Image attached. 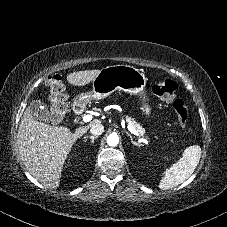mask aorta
I'll list each match as a JSON object with an SVG mask.
<instances>
[{
    "label": "aorta",
    "instance_id": "obj_1",
    "mask_svg": "<svg viewBox=\"0 0 227 227\" xmlns=\"http://www.w3.org/2000/svg\"><path fill=\"white\" fill-rule=\"evenodd\" d=\"M119 137L116 133H112L107 137V144L111 147L118 145Z\"/></svg>",
    "mask_w": 227,
    "mask_h": 227
}]
</instances>
